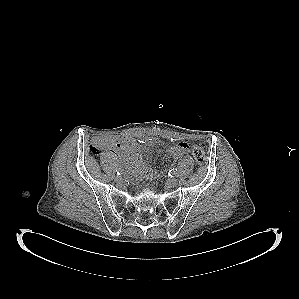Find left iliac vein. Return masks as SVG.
I'll return each mask as SVG.
<instances>
[{
	"instance_id": "4c4485c4",
	"label": "left iliac vein",
	"mask_w": 299,
	"mask_h": 299,
	"mask_svg": "<svg viewBox=\"0 0 299 299\" xmlns=\"http://www.w3.org/2000/svg\"><path fill=\"white\" fill-rule=\"evenodd\" d=\"M177 184H178V179H177V178H170V179L167 181V185H168L169 187H175Z\"/></svg>"
}]
</instances>
